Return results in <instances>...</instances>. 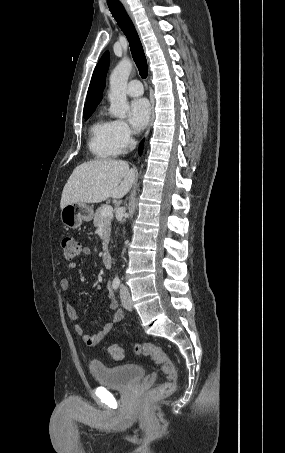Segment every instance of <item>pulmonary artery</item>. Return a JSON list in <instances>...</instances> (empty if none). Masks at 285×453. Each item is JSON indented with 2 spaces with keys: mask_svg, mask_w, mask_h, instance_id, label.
<instances>
[{
  "mask_svg": "<svg viewBox=\"0 0 285 453\" xmlns=\"http://www.w3.org/2000/svg\"><path fill=\"white\" fill-rule=\"evenodd\" d=\"M127 94L131 97H138L143 94L142 83L138 79L131 80L127 85Z\"/></svg>",
  "mask_w": 285,
  "mask_h": 453,
  "instance_id": "obj_1",
  "label": "pulmonary artery"
}]
</instances>
